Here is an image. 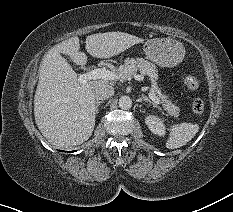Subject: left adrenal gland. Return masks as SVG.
<instances>
[{"mask_svg": "<svg viewBox=\"0 0 233 212\" xmlns=\"http://www.w3.org/2000/svg\"><path fill=\"white\" fill-rule=\"evenodd\" d=\"M142 100L143 101H147V102H149V103H151V104H153V106L154 107H158L154 102H152L147 96H145V95H142Z\"/></svg>", "mask_w": 233, "mask_h": 212, "instance_id": "1", "label": "left adrenal gland"}]
</instances>
